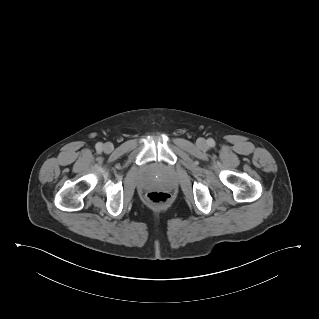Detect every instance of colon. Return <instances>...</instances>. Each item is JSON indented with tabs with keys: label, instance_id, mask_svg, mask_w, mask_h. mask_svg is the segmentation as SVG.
Returning <instances> with one entry per match:
<instances>
[{
	"label": "colon",
	"instance_id": "1",
	"mask_svg": "<svg viewBox=\"0 0 319 319\" xmlns=\"http://www.w3.org/2000/svg\"><path fill=\"white\" fill-rule=\"evenodd\" d=\"M169 194L165 191L154 190L147 194V200L153 204H163L169 200Z\"/></svg>",
	"mask_w": 319,
	"mask_h": 319
}]
</instances>
